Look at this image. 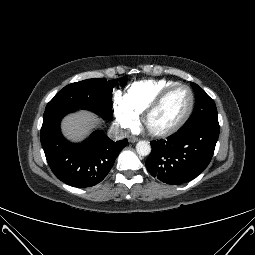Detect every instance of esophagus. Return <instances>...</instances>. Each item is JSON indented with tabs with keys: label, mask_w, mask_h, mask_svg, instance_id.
Wrapping results in <instances>:
<instances>
[{
	"label": "esophagus",
	"mask_w": 255,
	"mask_h": 255,
	"mask_svg": "<svg viewBox=\"0 0 255 255\" xmlns=\"http://www.w3.org/2000/svg\"><path fill=\"white\" fill-rule=\"evenodd\" d=\"M139 139L137 137H133V136H130L128 137V141L131 142V143H135L137 142Z\"/></svg>",
	"instance_id": "esophagus-1"
}]
</instances>
